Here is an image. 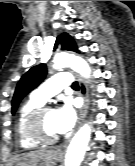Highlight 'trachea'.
Wrapping results in <instances>:
<instances>
[{
	"instance_id": "trachea-1",
	"label": "trachea",
	"mask_w": 135,
	"mask_h": 166,
	"mask_svg": "<svg viewBox=\"0 0 135 166\" xmlns=\"http://www.w3.org/2000/svg\"><path fill=\"white\" fill-rule=\"evenodd\" d=\"M72 88H73V89H79L78 83H77V82H74V83L72 84Z\"/></svg>"
}]
</instances>
